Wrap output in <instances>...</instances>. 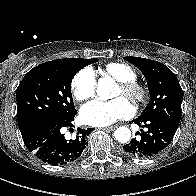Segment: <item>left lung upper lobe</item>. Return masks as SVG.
<instances>
[{"instance_id": "obj_1", "label": "left lung upper lobe", "mask_w": 196, "mask_h": 196, "mask_svg": "<svg viewBox=\"0 0 196 196\" xmlns=\"http://www.w3.org/2000/svg\"><path fill=\"white\" fill-rule=\"evenodd\" d=\"M135 65L148 82L150 102L139 118H162L178 127L183 90L175 74L164 64L140 57H124Z\"/></svg>"}]
</instances>
